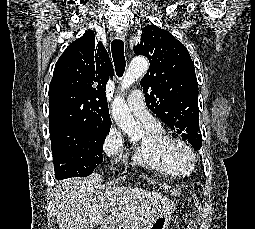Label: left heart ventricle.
<instances>
[{"mask_svg":"<svg viewBox=\"0 0 255 229\" xmlns=\"http://www.w3.org/2000/svg\"><path fill=\"white\" fill-rule=\"evenodd\" d=\"M173 156L176 160H184L186 158V153L179 147H174L173 150Z\"/></svg>","mask_w":255,"mask_h":229,"instance_id":"left-heart-ventricle-1","label":"left heart ventricle"}]
</instances>
